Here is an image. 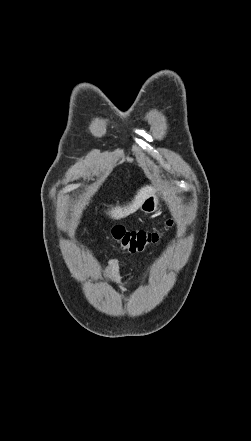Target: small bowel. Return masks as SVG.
I'll use <instances>...</instances> for the list:
<instances>
[{"mask_svg": "<svg viewBox=\"0 0 251 441\" xmlns=\"http://www.w3.org/2000/svg\"><path fill=\"white\" fill-rule=\"evenodd\" d=\"M120 269V262L117 259L108 260L105 268V276L109 283L118 291L125 293L126 289L118 282V274Z\"/></svg>", "mask_w": 251, "mask_h": 441, "instance_id": "obj_1", "label": "small bowel"}]
</instances>
